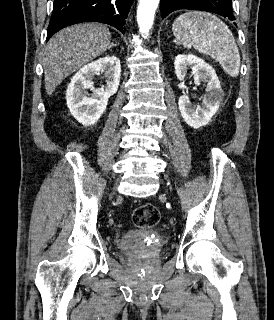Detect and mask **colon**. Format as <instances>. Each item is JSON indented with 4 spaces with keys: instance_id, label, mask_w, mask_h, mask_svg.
Listing matches in <instances>:
<instances>
[{
    "instance_id": "colon-1",
    "label": "colon",
    "mask_w": 274,
    "mask_h": 320,
    "mask_svg": "<svg viewBox=\"0 0 274 320\" xmlns=\"http://www.w3.org/2000/svg\"><path fill=\"white\" fill-rule=\"evenodd\" d=\"M160 217L157 206L152 202H145L135 209L132 221L139 228H151L159 223Z\"/></svg>"
}]
</instances>
